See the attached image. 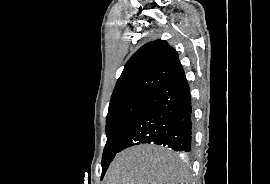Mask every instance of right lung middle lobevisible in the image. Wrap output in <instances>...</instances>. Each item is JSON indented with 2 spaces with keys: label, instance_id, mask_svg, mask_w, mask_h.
<instances>
[{
  "label": "right lung middle lobe",
  "instance_id": "1",
  "mask_svg": "<svg viewBox=\"0 0 270 184\" xmlns=\"http://www.w3.org/2000/svg\"><path fill=\"white\" fill-rule=\"evenodd\" d=\"M149 96L134 95L110 102L106 117L107 142L102 157V178Z\"/></svg>",
  "mask_w": 270,
  "mask_h": 184
}]
</instances>
